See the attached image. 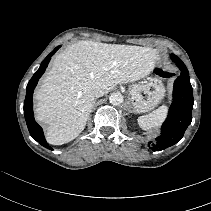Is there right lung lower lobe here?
Segmentation results:
<instances>
[{"label":"right lung lower lobe","instance_id":"obj_1","mask_svg":"<svg viewBox=\"0 0 211 211\" xmlns=\"http://www.w3.org/2000/svg\"><path fill=\"white\" fill-rule=\"evenodd\" d=\"M59 47L55 48L41 63L39 69L34 73L33 77L29 81L26 88V97L24 101V115L26 119V124L29 129L31 136L39 142L42 146L52 150L45 140L42 128L35 122L33 115V91L38 83L39 78L45 72V69L51 59V56L57 51Z\"/></svg>","mask_w":211,"mask_h":211}]
</instances>
